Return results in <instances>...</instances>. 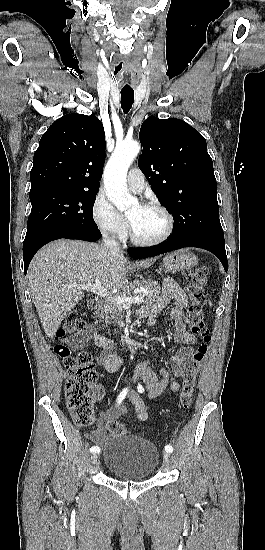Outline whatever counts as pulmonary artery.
Listing matches in <instances>:
<instances>
[{
  "instance_id": "pulmonary-artery-1",
  "label": "pulmonary artery",
  "mask_w": 265,
  "mask_h": 550,
  "mask_svg": "<svg viewBox=\"0 0 265 550\" xmlns=\"http://www.w3.org/2000/svg\"><path fill=\"white\" fill-rule=\"evenodd\" d=\"M127 185L133 193H141L145 188V179L141 171L133 168L127 175Z\"/></svg>"
}]
</instances>
